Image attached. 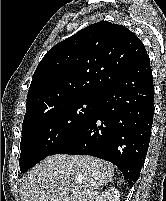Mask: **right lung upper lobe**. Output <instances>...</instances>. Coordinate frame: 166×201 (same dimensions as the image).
<instances>
[{
  "label": "right lung upper lobe",
  "instance_id": "right-lung-upper-lobe-1",
  "mask_svg": "<svg viewBox=\"0 0 166 201\" xmlns=\"http://www.w3.org/2000/svg\"><path fill=\"white\" fill-rule=\"evenodd\" d=\"M146 49L122 25L101 21L51 48L38 64L24 117L84 96H98L130 70Z\"/></svg>",
  "mask_w": 166,
  "mask_h": 201
}]
</instances>
